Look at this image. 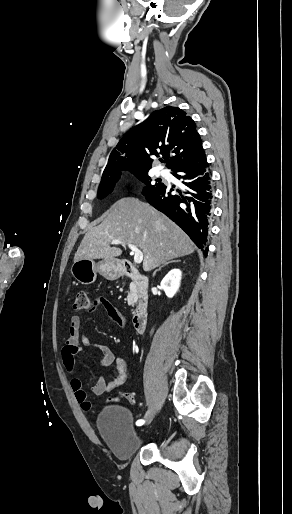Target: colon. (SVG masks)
<instances>
[{
    "instance_id": "colon-1",
    "label": "colon",
    "mask_w": 292,
    "mask_h": 514,
    "mask_svg": "<svg viewBox=\"0 0 292 514\" xmlns=\"http://www.w3.org/2000/svg\"><path fill=\"white\" fill-rule=\"evenodd\" d=\"M89 294L87 291H79L76 294V300L74 304V310L84 311L90 309Z\"/></svg>"
}]
</instances>
